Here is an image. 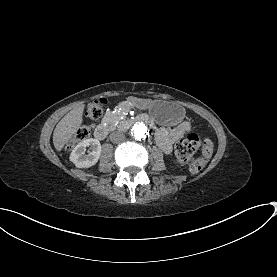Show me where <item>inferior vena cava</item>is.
I'll return each instance as SVG.
<instances>
[{"mask_svg": "<svg viewBox=\"0 0 277 277\" xmlns=\"http://www.w3.org/2000/svg\"><path fill=\"white\" fill-rule=\"evenodd\" d=\"M109 137L110 140L114 143L121 142L125 139L124 135L119 132H112Z\"/></svg>", "mask_w": 277, "mask_h": 277, "instance_id": "602c4592", "label": "inferior vena cava"}]
</instances>
